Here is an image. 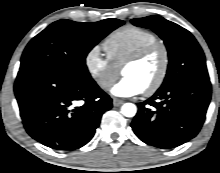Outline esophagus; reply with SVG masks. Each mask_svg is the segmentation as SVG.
<instances>
[{
    "label": "esophagus",
    "mask_w": 220,
    "mask_h": 173,
    "mask_svg": "<svg viewBox=\"0 0 220 173\" xmlns=\"http://www.w3.org/2000/svg\"><path fill=\"white\" fill-rule=\"evenodd\" d=\"M124 102L118 98H114L113 99V105L118 107V106H121Z\"/></svg>",
    "instance_id": "1"
}]
</instances>
